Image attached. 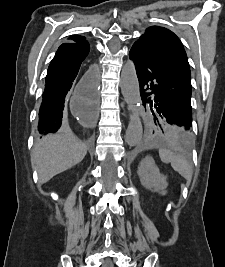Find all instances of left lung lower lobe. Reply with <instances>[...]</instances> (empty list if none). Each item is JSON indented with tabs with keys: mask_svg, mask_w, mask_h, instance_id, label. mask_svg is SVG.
<instances>
[{
	"mask_svg": "<svg viewBox=\"0 0 225 267\" xmlns=\"http://www.w3.org/2000/svg\"><path fill=\"white\" fill-rule=\"evenodd\" d=\"M129 56L135 66L142 101L158 111L156 117L184 126L191 133L192 86L187 58L157 49L141 38L134 43Z\"/></svg>",
	"mask_w": 225,
	"mask_h": 267,
	"instance_id": "left-lung-lower-lobe-1",
	"label": "left lung lower lobe"
}]
</instances>
